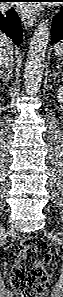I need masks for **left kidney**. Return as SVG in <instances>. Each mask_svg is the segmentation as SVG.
I'll use <instances>...</instances> for the list:
<instances>
[{"instance_id":"1","label":"left kidney","mask_w":63,"mask_h":297,"mask_svg":"<svg viewBox=\"0 0 63 297\" xmlns=\"http://www.w3.org/2000/svg\"><path fill=\"white\" fill-rule=\"evenodd\" d=\"M57 100L59 103L63 102V88L62 87H59V89H58Z\"/></svg>"}]
</instances>
